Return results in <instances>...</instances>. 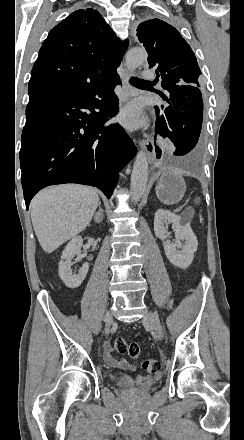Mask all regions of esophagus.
<instances>
[{
	"label": "esophagus",
	"mask_w": 244,
	"mask_h": 440,
	"mask_svg": "<svg viewBox=\"0 0 244 440\" xmlns=\"http://www.w3.org/2000/svg\"><path fill=\"white\" fill-rule=\"evenodd\" d=\"M132 75H133V73L124 64L123 75H122L121 79H122V83H123V86L126 91L127 98H130L133 96L130 93L131 87L129 85V80ZM140 145L146 151L149 162L154 163V161H155V147H154L153 139L152 138L142 139L140 141Z\"/></svg>",
	"instance_id": "esophagus-1"
}]
</instances>
